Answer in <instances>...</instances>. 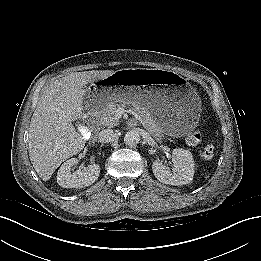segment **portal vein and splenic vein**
Segmentation results:
<instances>
[{
	"mask_svg": "<svg viewBox=\"0 0 261 261\" xmlns=\"http://www.w3.org/2000/svg\"><path fill=\"white\" fill-rule=\"evenodd\" d=\"M124 113V110L120 107V108H118L117 110H116V116H117V118L119 119L121 116H122V114Z\"/></svg>",
	"mask_w": 261,
	"mask_h": 261,
	"instance_id": "1",
	"label": "portal vein and splenic vein"
}]
</instances>
